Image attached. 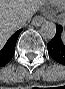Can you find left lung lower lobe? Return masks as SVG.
<instances>
[{"label":"left lung lower lobe","instance_id":"obj_1","mask_svg":"<svg viewBox=\"0 0 65 89\" xmlns=\"http://www.w3.org/2000/svg\"><path fill=\"white\" fill-rule=\"evenodd\" d=\"M63 33V37H62ZM49 55L60 64L65 65V28L56 27L54 38L47 44Z\"/></svg>","mask_w":65,"mask_h":89}]
</instances>
